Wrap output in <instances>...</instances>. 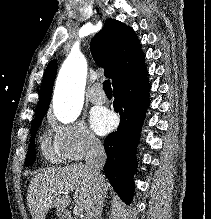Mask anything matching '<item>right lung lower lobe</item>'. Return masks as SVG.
Masks as SVG:
<instances>
[{"label": "right lung lower lobe", "mask_w": 211, "mask_h": 219, "mask_svg": "<svg viewBox=\"0 0 211 219\" xmlns=\"http://www.w3.org/2000/svg\"><path fill=\"white\" fill-rule=\"evenodd\" d=\"M113 107L120 114L117 131L104 141L107 161L105 175L123 201L130 204L134 193V174L137 161L136 149L141 126L149 106L150 85L144 61L112 82Z\"/></svg>", "instance_id": "obj_1"}]
</instances>
